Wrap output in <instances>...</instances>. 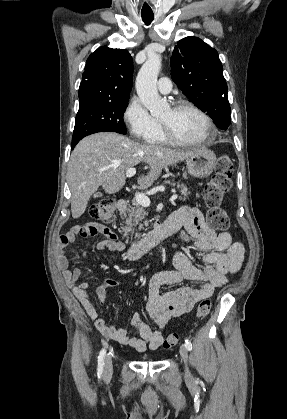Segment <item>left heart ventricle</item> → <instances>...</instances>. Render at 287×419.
I'll return each mask as SVG.
<instances>
[{
    "label": "left heart ventricle",
    "instance_id": "b2bd125f",
    "mask_svg": "<svg viewBox=\"0 0 287 419\" xmlns=\"http://www.w3.org/2000/svg\"><path fill=\"white\" fill-rule=\"evenodd\" d=\"M159 120L174 136L182 140L195 141L201 139L207 133L202 118L190 109L170 107L163 112Z\"/></svg>",
    "mask_w": 287,
    "mask_h": 419
}]
</instances>
